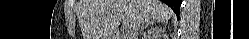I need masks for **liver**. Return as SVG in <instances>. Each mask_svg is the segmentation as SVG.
I'll use <instances>...</instances> for the list:
<instances>
[{
  "label": "liver",
  "instance_id": "1",
  "mask_svg": "<svg viewBox=\"0 0 249 39\" xmlns=\"http://www.w3.org/2000/svg\"><path fill=\"white\" fill-rule=\"evenodd\" d=\"M172 16V10L158 0H82L79 8L84 39H113L121 20L127 29L137 18L144 23Z\"/></svg>",
  "mask_w": 249,
  "mask_h": 39
}]
</instances>
